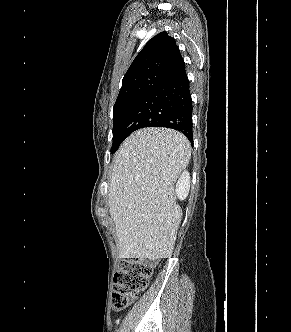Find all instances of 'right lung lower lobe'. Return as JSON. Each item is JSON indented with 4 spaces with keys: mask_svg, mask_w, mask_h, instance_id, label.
<instances>
[{
    "mask_svg": "<svg viewBox=\"0 0 291 332\" xmlns=\"http://www.w3.org/2000/svg\"><path fill=\"white\" fill-rule=\"evenodd\" d=\"M144 127L182 132L192 143V100L185 70L162 82L138 104L124 127L125 136Z\"/></svg>",
    "mask_w": 291,
    "mask_h": 332,
    "instance_id": "right-lung-lower-lobe-1",
    "label": "right lung lower lobe"
}]
</instances>
